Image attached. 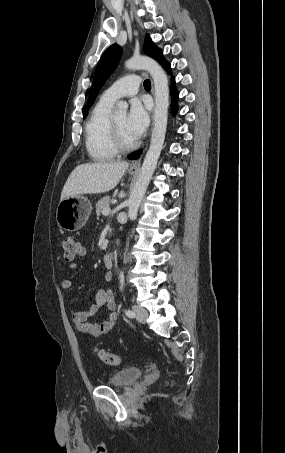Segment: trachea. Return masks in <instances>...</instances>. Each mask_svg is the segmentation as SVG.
<instances>
[{"label": "trachea", "mask_w": 285, "mask_h": 453, "mask_svg": "<svg viewBox=\"0 0 285 453\" xmlns=\"http://www.w3.org/2000/svg\"><path fill=\"white\" fill-rule=\"evenodd\" d=\"M144 87H145V88H151V82H150L149 79H146V80L144 81Z\"/></svg>", "instance_id": "3493384b"}]
</instances>
